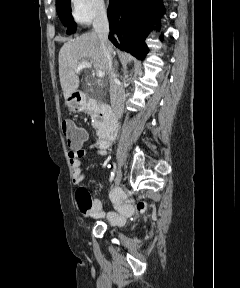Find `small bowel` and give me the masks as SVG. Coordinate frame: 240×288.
Wrapping results in <instances>:
<instances>
[{"label":"small bowel","instance_id":"1","mask_svg":"<svg viewBox=\"0 0 240 288\" xmlns=\"http://www.w3.org/2000/svg\"><path fill=\"white\" fill-rule=\"evenodd\" d=\"M69 163L72 172V181L78 184L84 177L81 169V159L91 152H96L101 156L107 155V148H103L99 143L90 144L83 148L82 144L78 146H70ZM76 201L79 210L89 217H103L107 216L108 219L114 224H122L125 219L132 213V206L125 201V195L121 190L113 192V206L116 212L105 214L103 211L102 203L99 199H92L83 186H79L76 190Z\"/></svg>","mask_w":240,"mask_h":288}]
</instances>
